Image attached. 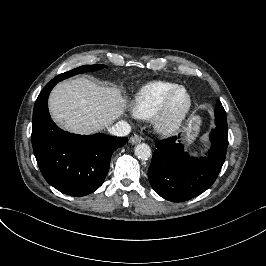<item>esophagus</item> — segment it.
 I'll return each mask as SVG.
<instances>
[{"mask_svg": "<svg viewBox=\"0 0 266 266\" xmlns=\"http://www.w3.org/2000/svg\"><path fill=\"white\" fill-rule=\"evenodd\" d=\"M141 141H142V138L139 137V136H133V137H131L130 140H129V142H130L131 144H138V143H140Z\"/></svg>", "mask_w": 266, "mask_h": 266, "instance_id": "1", "label": "esophagus"}]
</instances>
